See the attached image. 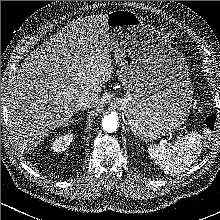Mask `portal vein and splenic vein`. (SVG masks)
I'll return each mask as SVG.
<instances>
[{
  "label": "portal vein and splenic vein",
  "instance_id": "portal-vein-and-splenic-vein-1",
  "mask_svg": "<svg viewBox=\"0 0 220 220\" xmlns=\"http://www.w3.org/2000/svg\"><path fill=\"white\" fill-rule=\"evenodd\" d=\"M161 144H162V145H165V146H166V145H168V146H170V145H171L170 143H167V141H166V140H162V141H161Z\"/></svg>",
  "mask_w": 220,
  "mask_h": 220
}]
</instances>
